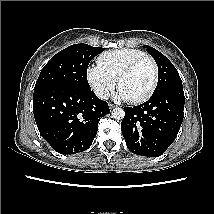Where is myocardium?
<instances>
[{
	"label": "myocardium",
	"instance_id": "1",
	"mask_svg": "<svg viewBox=\"0 0 214 214\" xmlns=\"http://www.w3.org/2000/svg\"><path fill=\"white\" fill-rule=\"evenodd\" d=\"M145 62L149 63L152 68V72H153L152 83H151L150 87L148 88V90L142 96H140L136 99H131V102L134 104H140V103L147 101L154 93V91L158 85V80H159V72H158V67H157L156 62L147 55L143 56L141 58H138V59L134 60L133 62H131L129 65H127L120 72V74L117 78V84H118V87L120 88V83H121L122 79L125 78L127 75L131 74L136 68H138L141 64H143Z\"/></svg>",
	"mask_w": 214,
	"mask_h": 214
}]
</instances>
